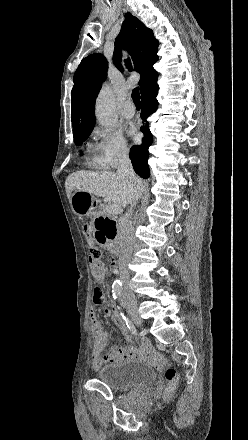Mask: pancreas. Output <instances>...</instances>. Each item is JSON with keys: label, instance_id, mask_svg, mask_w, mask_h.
<instances>
[{"label": "pancreas", "instance_id": "1", "mask_svg": "<svg viewBox=\"0 0 248 440\" xmlns=\"http://www.w3.org/2000/svg\"><path fill=\"white\" fill-rule=\"evenodd\" d=\"M99 216H104V217H108V218H111L112 220H116V218L115 217H113L111 214H109L107 211H106V206H103L102 208H101V210L97 213Z\"/></svg>", "mask_w": 248, "mask_h": 440}]
</instances>
